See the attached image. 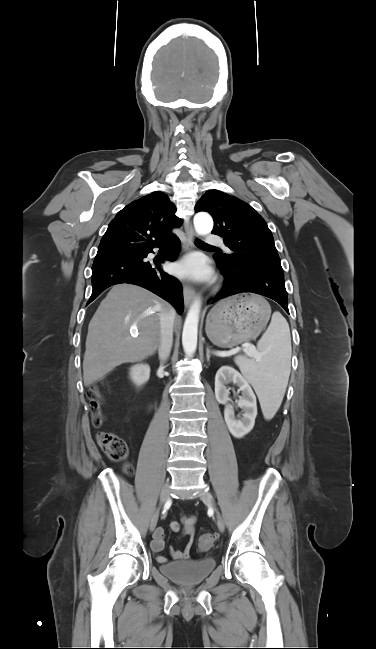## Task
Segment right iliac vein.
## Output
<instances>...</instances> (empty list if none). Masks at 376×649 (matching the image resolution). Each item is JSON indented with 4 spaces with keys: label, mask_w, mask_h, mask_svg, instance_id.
Here are the masks:
<instances>
[{
    "label": "right iliac vein",
    "mask_w": 376,
    "mask_h": 649,
    "mask_svg": "<svg viewBox=\"0 0 376 649\" xmlns=\"http://www.w3.org/2000/svg\"><path fill=\"white\" fill-rule=\"evenodd\" d=\"M170 496V485L169 483H165L164 486L162 487L161 494H160V505H163ZM158 517H159V508L156 509L154 512L151 521H150V531H153L157 525L158 522Z\"/></svg>",
    "instance_id": "right-iliac-vein-1"
}]
</instances>
